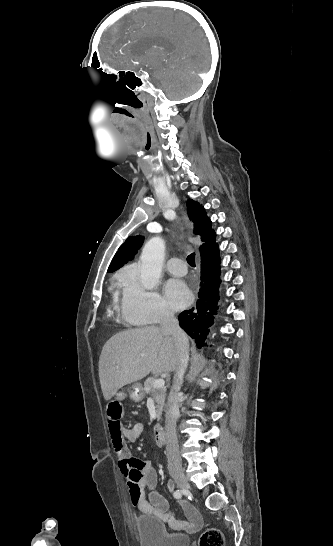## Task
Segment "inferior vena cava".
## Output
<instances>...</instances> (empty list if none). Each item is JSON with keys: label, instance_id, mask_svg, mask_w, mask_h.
<instances>
[{"label": "inferior vena cava", "instance_id": "1", "mask_svg": "<svg viewBox=\"0 0 333 546\" xmlns=\"http://www.w3.org/2000/svg\"><path fill=\"white\" fill-rule=\"evenodd\" d=\"M161 331L174 338L178 352V365L174 371L173 384L170 389L167 402L165 431H166V455L168 468H180L181 459L179 456L178 439L176 434V421L179 417V396L183 376L186 372L189 361V343L186 333L180 328L174 313L164 311L161 317Z\"/></svg>", "mask_w": 333, "mask_h": 546}]
</instances>
